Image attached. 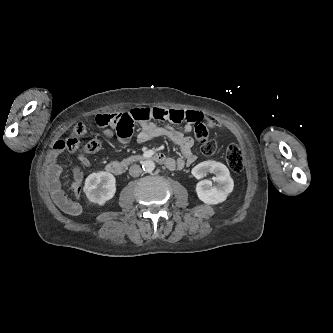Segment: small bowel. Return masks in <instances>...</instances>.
<instances>
[{"mask_svg": "<svg viewBox=\"0 0 333 333\" xmlns=\"http://www.w3.org/2000/svg\"><path fill=\"white\" fill-rule=\"evenodd\" d=\"M128 116L130 123V131L126 134L117 135L119 141L124 143L131 136L133 131V125L138 123L141 127L140 132L137 135L139 142H147L154 137H166L173 143L179 146L182 157L178 159L167 158L165 166L170 169H183L186 165H190L195 162L196 156L192 152L194 144L193 139L189 136L192 131L193 125L196 123H204L210 126L212 129L218 127L220 130H226V125L221 120H214L207 114L196 110H183L175 108H160V107H142L135 108L125 113ZM168 121L170 123H183L182 130H176L170 126H160L154 121ZM104 134L107 137H112L114 132L111 129H106ZM55 157L52 154V162L49 164L47 175L48 185L54 202L62 210L69 213H74L75 208L72 202L67 197L62 189L60 181L61 166L55 161ZM80 161L83 166L89 167L90 161L85 156H80ZM76 177H80V172L77 171ZM74 192L76 196L80 194V187L76 183L74 185Z\"/></svg>", "mask_w": 333, "mask_h": 333, "instance_id": "obj_1", "label": "small bowel"}]
</instances>
